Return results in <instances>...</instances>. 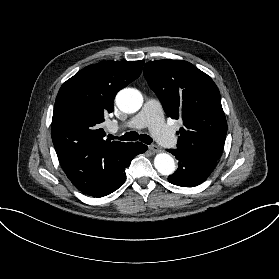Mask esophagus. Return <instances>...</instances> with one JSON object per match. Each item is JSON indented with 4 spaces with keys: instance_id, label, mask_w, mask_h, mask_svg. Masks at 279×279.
Segmentation results:
<instances>
[{
    "instance_id": "esophagus-1",
    "label": "esophagus",
    "mask_w": 279,
    "mask_h": 279,
    "mask_svg": "<svg viewBox=\"0 0 279 279\" xmlns=\"http://www.w3.org/2000/svg\"><path fill=\"white\" fill-rule=\"evenodd\" d=\"M148 148H149L153 153H159V152H161V149H160L158 146L154 145V144L150 145Z\"/></svg>"
}]
</instances>
